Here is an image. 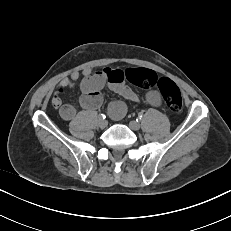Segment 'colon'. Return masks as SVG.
Here are the masks:
<instances>
[{"label":"colon","mask_w":231,"mask_h":231,"mask_svg":"<svg viewBox=\"0 0 231 231\" xmlns=\"http://www.w3.org/2000/svg\"><path fill=\"white\" fill-rule=\"evenodd\" d=\"M127 82L142 89L157 87L166 106L173 112H180L183 107L179 88L168 78H159L153 71L142 68L125 71Z\"/></svg>","instance_id":"5ec220e1"}]
</instances>
